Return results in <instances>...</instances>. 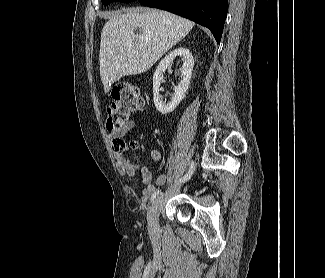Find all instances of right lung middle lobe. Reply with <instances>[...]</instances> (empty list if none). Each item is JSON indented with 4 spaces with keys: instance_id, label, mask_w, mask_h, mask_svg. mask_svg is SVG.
<instances>
[{
    "instance_id": "1",
    "label": "right lung middle lobe",
    "mask_w": 325,
    "mask_h": 278,
    "mask_svg": "<svg viewBox=\"0 0 325 278\" xmlns=\"http://www.w3.org/2000/svg\"><path fill=\"white\" fill-rule=\"evenodd\" d=\"M101 1H102V4L106 6V5H108L109 3L114 2V1L126 2V3H128V2H133V1H136V0H101Z\"/></svg>"
}]
</instances>
